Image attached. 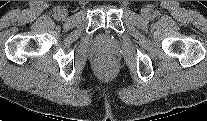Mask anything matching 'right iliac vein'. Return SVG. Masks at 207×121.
<instances>
[{
	"label": "right iliac vein",
	"mask_w": 207,
	"mask_h": 121,
	"mask_svg": "<svg viewBox=\"0 0 207 121\" xmlns=\"http://www.w3.org/2000/svg\"><path fill=\"white\" fill-rule=\"evenodd\" d=\"M59 15H60L62 18H65V17L68 15V12H67L66 9H60Z\"/></svg>",
	"instance_id": "1"
}]
</instances>
